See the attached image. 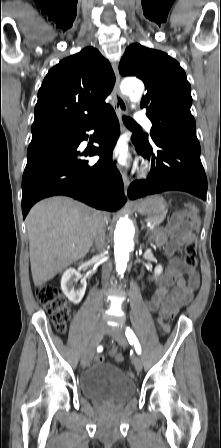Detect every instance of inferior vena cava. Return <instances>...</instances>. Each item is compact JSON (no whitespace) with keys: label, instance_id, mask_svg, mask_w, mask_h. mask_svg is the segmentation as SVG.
Returning <instances> with one entry per match:
<instances>
[{"label":"inferior vena cava","instance_id":"inferior-vena-cava-1","mask_svg":"<svg viewBox=\"0 0 221 448\" xmlns=\"http://www.w3.org/2000/svg\"><path fill=\"white\" fill-rule=\"evenodd\" d=\"M95 246L99 252L104 251L105 246V222L103 219L99 220L98 229L95 236ZM109 278V273L107 267H103L102 279L104 282H107Z\"/></svg>","mask_w":221,"mask_h":448}]
</instances>
